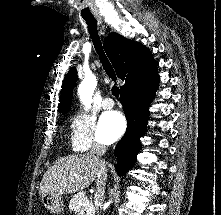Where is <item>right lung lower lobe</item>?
I'll return each instance as SVG.
<instances>
[{
  "label": "right lung lower lobe",
  "instance_id": "98d812e1",
  "mask_svg": "<svg viewBox=\"0 0 221 215\" xmlns=\"http://www.w3.org/2000/svg\"><path fill=\"white\" fill-rule=\"evenodd\" d=\"M157 71L132 88L121 91L120 101L123 104L127 119V130L115 148L118 163L117 173L122 176L136 161L141 149L140 137L145 132L144 124L148 118V108L158 87Z\"/></svg>",
  "mask_w": 221,
  "mask_h": 215
}]
</instances>
